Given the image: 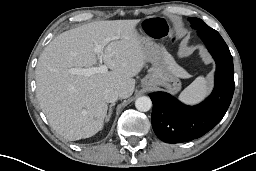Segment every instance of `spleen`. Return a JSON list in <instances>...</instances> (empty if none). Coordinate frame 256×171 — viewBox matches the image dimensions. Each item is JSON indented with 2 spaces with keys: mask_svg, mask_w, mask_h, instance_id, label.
<instances>
[{
  "mask_svg": "<svg viewBox=\"0 0 256 171\" xmlns=\"http://www.w3.org/2000/svg\"><path fill=\"white\" fill-rule=\"evenodd\" d=\"M209 91L208 82L203 76L197 77L188 87H186L179 98L187 103H194L203 98Z\"/></svg>",
  "mask_w": 256,
  "mask_h": 171,
  "instance_id": "3e777b00",
  "label": "spleen"
}]
</instances>
